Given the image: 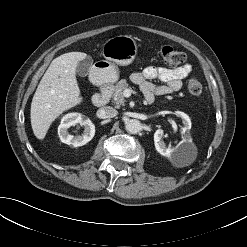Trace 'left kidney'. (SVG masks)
I'll use <instances>...</instances> for the list:
<instances>
[{
  "label": "left kidney",
  "instance_id": "obj_1",
  "mask_svg": "<svg viewBox=\"0 0 247 247\" xmlns=\"http://www.w3.org/2000/svg\"><path fill=\"white\" fill-rule=\"evenodd\" d=\"M176 115L182 119L183 128L182 133L184 134L182 141H180L175 147L166 146L163 137V130L158 129L154 134V144L157 152L165 157H172L179 149L184 146L193 145L190 129H191V120L187 114L181 111H176Z\"/></svg>",
  "mask_w": 247,
  "mask_h": 247
}]
</instances>
